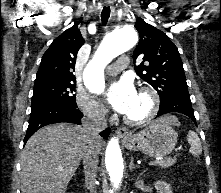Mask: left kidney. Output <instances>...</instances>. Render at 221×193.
Here are the masks:
<instances>
[{
	"mask_svg": "<svg viewBox=\"0 0 221 193\" xmlns=\"http://www.w3.org/2000/svg\"><path fill=\"white\" fill-rule=\"evenodd\" d=\"M155 188L158 193H172L170 184L164 182V181H157L155 183Z\"/></svg>",
	"mask_w": 221,
	"mask_h": 193,
	"instance_id": "5707ae66",
	"label": "left kidney"
}]
</instances>
